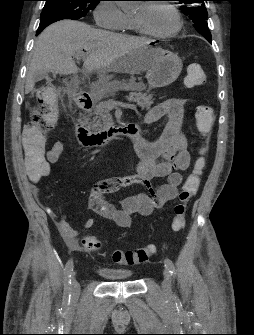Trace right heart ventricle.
<instances>
[{
  "label": "right heart ventricle",
  "mask_w": 254,
  "mask_h": 335,
  "mask_svg": "<svg viewBox=\"0 0 254 335\" xmlns=\"http://www.w3.org/2000/svg\"><path fill=\"white\" fill-rule=\"evenodd\" d=\"M126 30H129V31H132V32H135V33H138L139 32V29L137 28L135 22L133 19L129 18V22H128V25L126 26L125 28Z\"/></svg>",
  "instance_id": "obj_1"
}]
</instances>
